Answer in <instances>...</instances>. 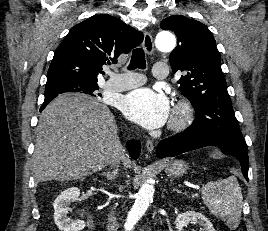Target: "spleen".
I'll return each mask as SVG.
<instances>
[{
  "label": "spleen",
  "mask_w": 268,
  "mask_h": 231,
  "mask_svg": "<svg viewBox=\"0 0 268 231\" xmlns=\"http://www.w3.org/2000/svg\"><path fill=\"white\" fill-rule=\"evenodd\" d=\"M201 193L204 204L213 215L232 229L239 225L243 196L236 177L208 182L202 186Z\"/></svg>",
  "instance_id": "1"
}]
</instances>
